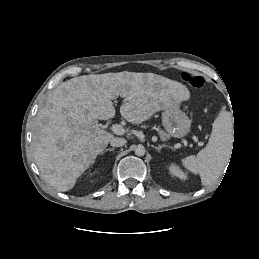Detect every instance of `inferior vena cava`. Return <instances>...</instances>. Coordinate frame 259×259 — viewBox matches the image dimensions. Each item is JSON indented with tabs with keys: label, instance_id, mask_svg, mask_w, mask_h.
Returning a JSON list of instances; mask_svg holds the SVG:
<instances>
[{
	"label": "inferior vena cava",
	"instance_id": "602c4592",
	"mask_svg": "<svg viewBox=\"0 0 259 259\" xmlns=\"http://www.w3.org/2000/svg\"><path fill=\"white\" fill-rule=\"evenodd\" d=\"M127 143L124 138L113 137L110 139V145L112 147H122Z\"/></svg>",
	"mask_w": 259,
	"mask_h": 259
}]
</instances>
